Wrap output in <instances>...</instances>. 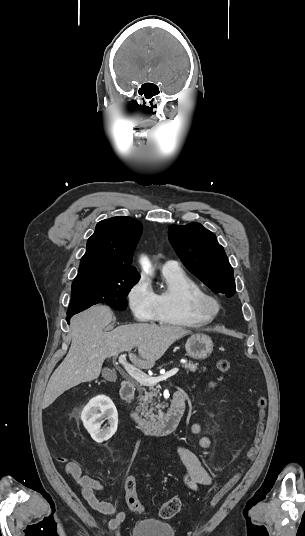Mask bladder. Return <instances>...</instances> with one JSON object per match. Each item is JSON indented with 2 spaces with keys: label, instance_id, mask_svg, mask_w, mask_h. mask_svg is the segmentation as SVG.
Returning a JSON list of instances; mask_svg holds the SVG:
<instances>
[{
  "label": "bladder",
  "instance_id": "obj_1",
  "mask_svg": "<svg viewBox=\"0 0 305 536\" xmlns=\"http://www.w3.org/2000/svg\"><path fill=\"white\" fill-rule=\"evenodd\" d=\"M175 536V529L172 522L164 521L157 517L143 518L132 526L131 536H151V535Z\"/></svg>",
  "mask_w": 305,
  "mask_h": 536
}]
</instances>
